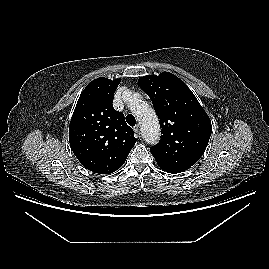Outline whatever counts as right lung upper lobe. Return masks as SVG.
Masks as SVG:
<instances>
[{
  "label": "right lung upper lobe",
  "instance_id": "cb5924a9",
  "mask_svg": "<svg viewBox=\"0 0 269 269\" xmlns=\"http://www.w3.org/2000/svg\"><path fill=\"white\" fill-rule=\"evenodd\" d=\"M121 79L97 78L81 93L69 126L71 149L88 170L110 174L119 169L136 143L122 112L114 110Z\"/></svg>",
  "mask_w": 269,
  "mask_h": 269
}]
</instances>
